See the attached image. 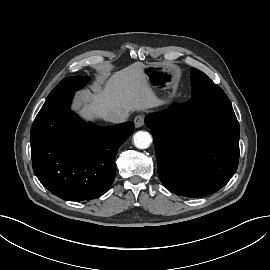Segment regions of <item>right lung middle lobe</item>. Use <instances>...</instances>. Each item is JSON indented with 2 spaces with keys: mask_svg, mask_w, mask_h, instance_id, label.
Listing matches in <instances>:
<instances>
[{
  "mask_svg": "<svg viewBox=\"0 0 270 270\" xmlns=\"http://www.w3.org/2000/svg\"><path fill=\"white\" fill-rule=\"evenodd\" d=\"M88 81V77L73 76L63 79L59 84L50 92L48 99L64 97L73 94L75 91L82 88Z\"/></svg>",
  "mask_w": 270,
  "mask_h": 270,
  "instance_id": "dd1d6c3e",
  "label": "right lung middle lobe"
}]
</instances>
